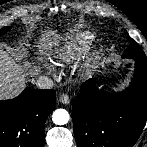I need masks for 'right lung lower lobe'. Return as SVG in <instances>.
Wrapping results in <instances>:
<instances>
[{
	"label": "right lung lower lobe",
	"mask_w": 147,
	"mask_h": 147,
	"mask_svg": "<svg viewBox=\"0 0 147 147\" xmlns=\"http://www.w3.org/2000/svg\"><path fill=\"white\" fill-rule=\"evenodd\" d=\"M55 105L54 90L29 87L0 101V147H43L44 125Z\"/></svg>",
	"instance_id": "1"
}]
</instances>
